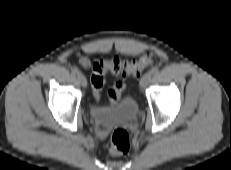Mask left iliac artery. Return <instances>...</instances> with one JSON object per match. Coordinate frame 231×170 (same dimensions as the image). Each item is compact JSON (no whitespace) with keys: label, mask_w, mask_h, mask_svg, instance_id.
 Instances as JSON below:
<instances>
[{"label":"left iliac artery","mask_w":231,"mask_h":170,"mask_svg":"<svg viewBox=\"0 0 231 170\" xmlns=\"http://www.w3.org/2000/svg\"><path fill=\"white\" fill-rule=\"evenodd\" d=\"M157 72H158V68H156V67L152 68V70L150 71V73H151L152 75L157 74Z\"/></svg>","instance_id":"1"}]
</instances>
